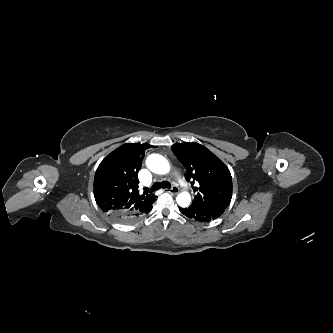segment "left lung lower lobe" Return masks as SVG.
Here are the masks:
<instances>
[{
	"instance_id": "obj_1",
	"label": "left lung lower lobe",
	"mask_w": 333,
	"mask_h": 333,
	"mask_svg": "<svg viewBox=\"0 0 333 333\" xmlns=\"http://www.w3.org/2000/svg\"><path fill=\"white\" fill-rule=\"evenodd\" d=\"M180 211L187 217L193 218L200 222H209L218 218L225 209L205 207L196 203H192L187 207H179Z\"/></svg>"
}]
</instances>
